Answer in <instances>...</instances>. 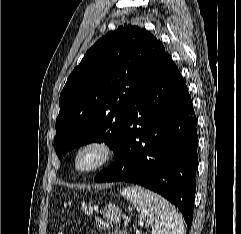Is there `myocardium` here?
Returning a JSON list of instances; mask_svg holds the SVG:
<instances>
[{
  "label": "myocardium",
  "instance_id": "f54148a6",
  "mask_svg": "<svg viewBox=\"0 0 241 234\" xmlns=\"http://www.w3.org/2000/svg\"><path fill=\"white\" fill-rule=\"evenodd\" d=\"M89 150H94L98 153L96 161L88 166L82 167L80 165L81 155ZM115 156V150L113 145L103 138H93L81 143L74 152L73 164L78 173L90 174L96 172L109 164Z\"/></svg>",
  "mask_w": 241,
  "mask_h": 234
}]
</instances>
